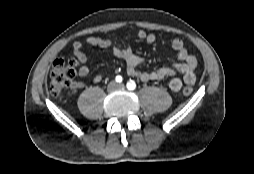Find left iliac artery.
Masks as SVG:
<instances>
[{
    "mask_svg": "<svg viewBox=\"0 0 254 174\" xmlns=\"http://www.w3.org/2000/svg\"><path fill=\"white\" fill-rule=\"evenodd\" d=\"M127 88L129 90H134L136 88V84L133 80H130L128 83H127Z\"/></svg>",
    "mask_w": 254,
    "mask_h": 174,
    "instance_id": "left-iliac-artery-1",
    "label": "left iliac artery"
}]
</instances>
